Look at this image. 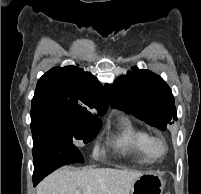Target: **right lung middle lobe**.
<instances>
[{
	"label": "right lung middle lobe",
	"mask_w": 201,
	"mask_h": 194,
	"mask_svg": "<svg viewBox=\"0 0 201 194\" xmlns=\"http://www.w3.org/2000/svg\"><path fill=\"white\" fill-rule=\"evenodd\" d=\"M102 124L99 119L81 118L70 114L58 103H43L31 106V131L33 140L41 137L72 143L83 140L85 144L98 134ZM81 153L74 155L69 163H83Z\"/></svg>",
	"instance_id": "obj_1"
}]
</instances>
